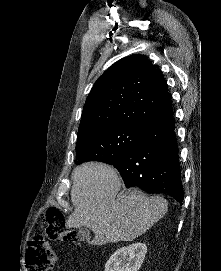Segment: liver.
<instances>
[{"mask_svg":"<svg viewBox=\"0 0 221 271\" xmlns=\"http://www.w3.org/2000/svg\"><path fill=\"white\" fill-rule=\"evenodd\" d=\"M71 201L74 211L68 227H90L95 237L91 245L115 241H133L159 221L168 209L161 195H146L131 187L124 197H118L122 187L116 169L87 161L77 165L72 173Z\"/></svg>","mask_w":221,"mask_h":271,"instance_id":"1","label":"liver"}]
</instances>
